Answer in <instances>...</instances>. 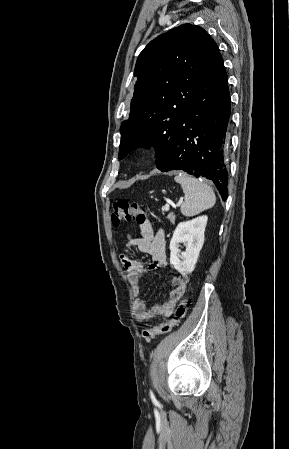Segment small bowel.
<instances>
[{
	"label": "small bowel",
	"instance_id": "c3829d8e",
	"mask_svg": "<svg viewBox=\"0 0 289 449\" xmlns=\"http://www.w3.org/2000/svg\"><path fill=\"white\" fill-rule=\"evenodd\" d=\"M140 237H132L128 235L124 244V252L121 255V262L129 279L130 284L135 291L140 293V279L149 275L150 270L155 268H165L168 265L166 242L163 230L154 231L149 220L139 223ZM137 248L143 253H147L152 258L149 267L138 260L131 258V253ZM171 284L173 289L170 291L168 298L150 308H147L143 298L138 297L134 302L135 318L142 322L156 316H170L174 310L176 303L186 290L188 277L185 275H176L172 278Z\"/></svg>",
	"mask_w": 289,
	"mask_h": 449
}]
</instances>
